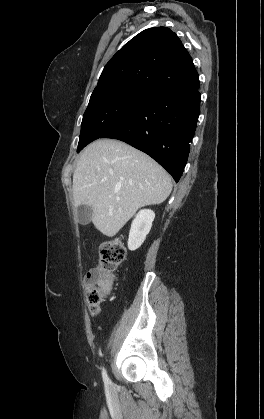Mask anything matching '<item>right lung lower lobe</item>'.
Instances as JSON below:
<instances>
[{
	"label": "right lung lower lobe",
	"instance_id": "right-lung-lower-lobe-1",
	"mask_svg": "<svg viewBox=\"0 0 264 419\" xmlns=\"http://www.w3.org/2000/svg\"><path fill=\"white\" fill-rule=\"evenodd\" d=\"M199 82L156 93L101 138L124 141L145 152L179 181L199 116Z\"/></svg>",
	"mask_w": 264,
	"mask_h": 419
}]
</instances>
